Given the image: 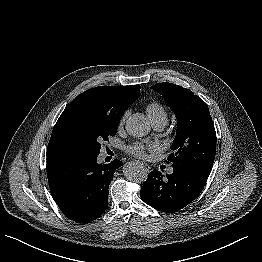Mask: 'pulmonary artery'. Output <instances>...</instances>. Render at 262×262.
Masks as SVG:
<instances>
[{
	"label": "pulmonary artery",
	"instance_id": "e3ab8cb5",
	"mask_svg": "<svg viewBox=\"0 0 262 262\" xmlns=\"http://www.w3.org/2000/svg\"><path fill=\"white\" fill-rule=\"evenodd\" d=\"M152 125H153L155 130L161 131V130H163V128L165 127L166 124L164 122L159 121V122H153ZM168 173L169 174L173 173V168H170L168 170Z\"/></svg>",
	"mask_w": 262,
	"mask_h": 262
}]
</instances>
